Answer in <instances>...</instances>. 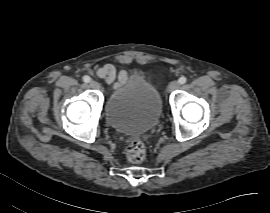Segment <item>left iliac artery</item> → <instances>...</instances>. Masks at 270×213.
Wrapping results in <instances>:
<instances>
[{
	"label": "left iliac artery",
	"instance_id": "left-iliac-artery-1",
	"mask_svg": "<svg viewBox=\"0 0 270 213\" xmlns=\"http://www.w3.org/2000/svg\"><path fill=\"white\" fill-rule=\"evenodd\" d=\"M186 81H187V78L185 76L180 77L179 80H178V82L180 84H184V83H186Z\"/></svg>",
	"mask_w": 270,
	"mask_h": 213
}]
</instances>
